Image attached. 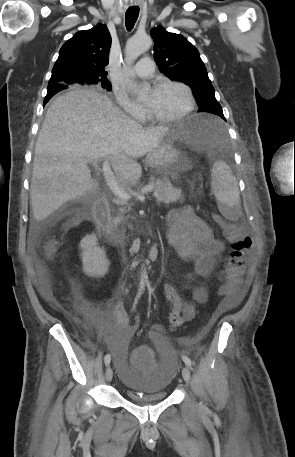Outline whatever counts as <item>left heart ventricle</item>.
<instances>
[{
  "instance_id": "left-heart-ventricle-1",
  "label": "left heart ventricle",
  "mask_w": 295,
  "mask_h": 457,
  "mask_svg": "<svg viewBox=\"0 0 295 457\" xmlns=\"http://www.w3.org/2000/svg\"><path fill=\"white\" fill-rule=\"evenodd\" d=\"M145 104L159 116L169 117L182 112L187 106L185 92L177 86H163L151 91Z\"/></svg>"
}]
</instances>
